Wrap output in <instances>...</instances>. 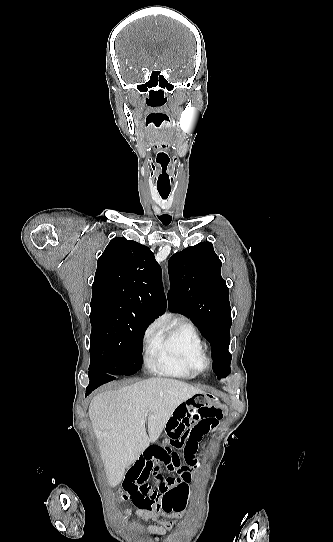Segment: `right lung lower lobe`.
I'll use <instances>...</instances> for the list:
<instances>
[{
  "instance_id": "98d812e1",
  "label": "right lung lower lobe",
  "mask_w": 333,
  "mask_h": 542,
  "mask_svg": "<svg viewBox=\"0 0 333 542\" xmlns=\"http://www.w3.org/2000/svg\"><path fill=\"white\" fill-rule=\"evenodd\" d=\"M110 373L89 368V385L86 388V395H89L94 389L114 379Z\"/></svg>"
}]
</instances>
